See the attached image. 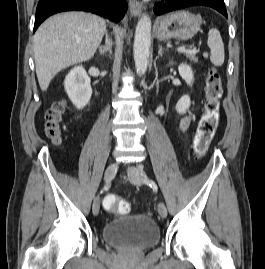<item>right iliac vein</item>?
<instances>
[{
	"mask_svg": "<svg viewBox=\"0 0 265 269\" xmlns=\"http://www.w3.org/2000/svg\"><path fill=\"white\" fill-rule=\"evenodd\" d=\"M117 170H118V165L116 163L110 164L107 167L105 174H104L105 181L112 180L115 177ZM99 210H100V199H99V197H96L93 201L92 212L94 215H97L99 213Z\"/></svg>",
	"mask_w": 265,
	"mask_h": 269,
	"instance_id": "right-iliac-vein-1",
	"label": "right iliac vein"
}]
</instances>
